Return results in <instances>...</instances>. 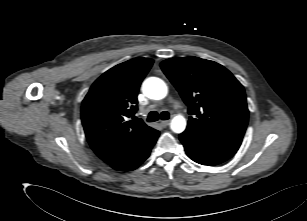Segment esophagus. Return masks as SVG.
<instances>
[{
    "label": "esophagus",
    "instance_id": "1",
    "mask_svg": "<svg viewBox=\"0 0 307 221\" xmlns=\"http://www.w3.org/2000/svg\"><path fill=\"white\" fill-rule=\"evenodd\" d=\"M169 123H170V121H169V120H166V121H161V122H160V125H161L162 127H166V126H168V125H169Z\"/></svg>",
    "mask_w": 307,
    "mask_h": 221
}]
</instances>
